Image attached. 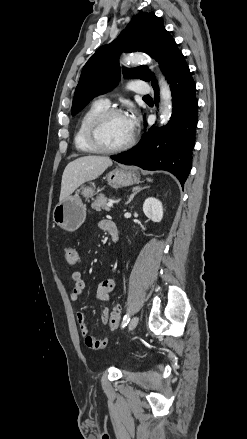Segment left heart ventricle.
<instances>
[{
    "label": "left heart ventricle",
    "instance_id": "1",
    "mask_svg": "<svg viewBox=\"0 0 247 439\" xmlns=\"http://www.w3.org/2000/svg\"><path fill=\"white\" fill-rule=\"evenodd\" d=\"M132 135L125 116L109 118L103 125L101 138L108 147H118L126 143Z\"/></svg>",
    "mask_w": 247,
    "mask_h": 439
}]
</instances>
